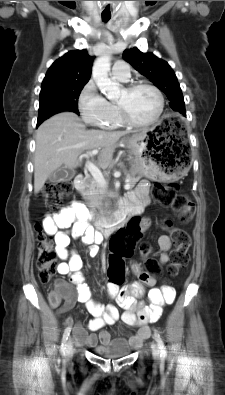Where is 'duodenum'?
<instances>
[{
    "instance_id": "obj_1",
    "label": "duodenum",
    "mask_w": 225,
    "mask_h": 395,
    "mask_svg": "<svg viewBox=\"0 0 225 395\" xmlns=\"http://www.w3.org/2000/svg\"><path fill=\"white\" fill-rule=\"evenodd\" d=\"M74 183L77 190L84 191L86 189L87 182L83 174L77 175ZM130 215L132 214L129 212V210L121 208L107 218H99L96 221V228L100 235L109 236L117 228L124 226L127 223Z\"/></svg>"
}]
</instances>
